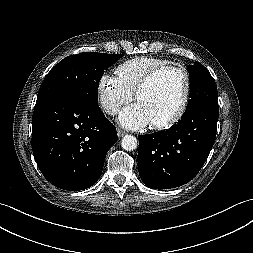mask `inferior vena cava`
<instances>
[{
	"instance_id": "inferior-vena-cava-1",
	"label": "inferior vena cava",
	"mask_w": 253,
	"mask_h": 253,
	"mask_svg": "<svg viewBox=\"0 0 253 253\" xmlns=\"http://www.w3.org/2000/svg\"><path fill=\"white\" fill-rule=\"evenodd\" d=\"M105 111L110 115H116L119 111V108L116 104L111 103L105 107Z\"/></svg>"
}]
</instances>
